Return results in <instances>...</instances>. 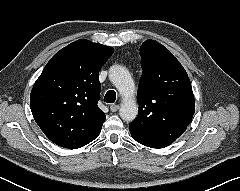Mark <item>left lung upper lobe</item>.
Instances as JSON below:
<instances>
[{
	"instance_id": "obj_1",
	"label": "left lung upper lobe",
	"mask_w": 240,
	"mask_h": 191,
	"mask_svg": "<svg viewBox=\"0 0 240 191\" xmlns=\"http://www.w3.org/2000/svg\"><path fill=\"white\" fill-rule=\"evenodd\" d=\"M140 55L139 114L129 129L138 142L163 148L180 137L192 120L195 100L191 82L180 62L155 40L145 41Z\"/></svg>"
}]
</instances>
